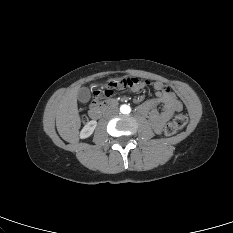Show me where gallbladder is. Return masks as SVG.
Returning <instances> with one entry per match:
<instances>
[{"label":"gallbladder","mask_w":233,"mask_h":233,"mask_svg":"<svg viewBox=\"0 0 233 233\" xmlns=\"http://www.w3.org/2000/svg\"><path fill=\"white\" fill-rule=\"evenodd\" d=\"M91 94L88 88L82 87L77 94V98L81 103H86L90 100Z\"/></svg>","instance_id":"bac80fb5"}]
</instances>
